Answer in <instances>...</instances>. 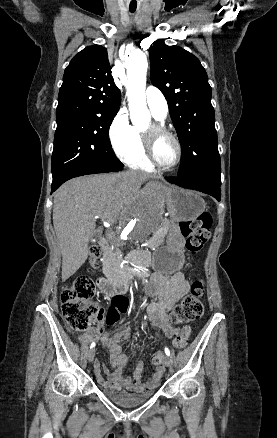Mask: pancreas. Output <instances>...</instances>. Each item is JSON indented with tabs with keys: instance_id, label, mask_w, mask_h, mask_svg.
Segmentation results:
<instances>
[{
	"instance_id": "1",
	"label": "pancreas",
	"mask_w": 277,
	"mask_h": 438,
	"mask_svg": "<svg viewBox=\"0 0 277 438\" xmlns=\"http://www.w3.org/2000/svg\"><path fill=\"white\" fill-rule=\"evenodd\" d=\"M167 235L168 230L166 228H159L157 233H153L151 239H145V248H159L163 237H166ZM104 256V267H107L108 270H119L121 258L117 251H106Z\"/></svg>"
}]
</instances>
